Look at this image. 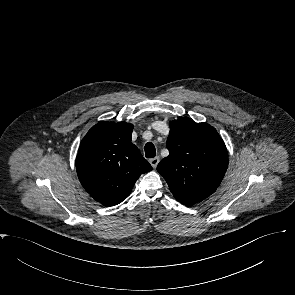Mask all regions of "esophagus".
<instances>
[{
  "instance_id": "34e87169",
  "label": "esophagus",
  "mask_w": 295,
  "mask_h": 295,
  "mask_svg": "<svg viewBox=\"0 0 295 295\" xmlns=\"http://www.w3.org/2000/svg\"><path fill=\"white\" fill-rule=\"evenodd\" d=\"M159 161H160V158L158 156L149 160V162L153 168L157 167Z\"/></svg>"
}]
</instances>
